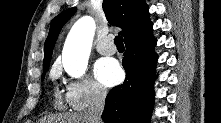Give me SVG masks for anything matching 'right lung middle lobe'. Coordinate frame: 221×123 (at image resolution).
<instances>
[{
	"instance_id": "dd1d6c3e",
	"label": "right lung middle lobe",
	"mask_w": 221,
	"mask_h": 123,
	"mask_svg": "<svg viewBox=\"0 0 221 123\" xmlns=\"http://www.w3.org/2000/svg\"><path fill=\"white\" fill-rule=\"evenodd\" d=\"M48 69H49V63L44 66V73L42 74V80L44 79V77H45V72L48 71Z\"/></svg>"
}]
</instances>
